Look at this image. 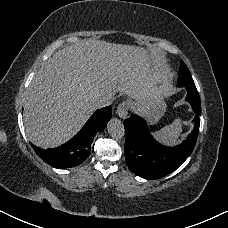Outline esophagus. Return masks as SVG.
Listing matches in <instances>:
<instances>
[{
    "label": "esophagus",
    "instance_id": "1",
    "mask_svg": "<svg viewBox=\"0 0 228 228\" xmlns=\"http://www.w3.org/2000/svg\"><path fill=\"white\" fill-rule=\"evenodd\" d=\"M128 110H129V103L125 101L118 105L116 109V113L121 119H126L129 114Z\"/></svg>",
    "mask_w": 228,
    "mask_h": 228
}]
</instances>
